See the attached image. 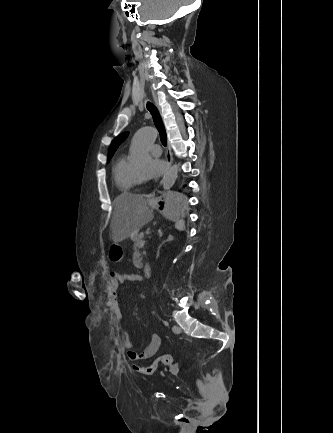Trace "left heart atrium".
<instances>
[{
    "label": "left heart atrium",
    "mask_w": 333,
    "mask_h": 433,
    "mask_svg": "<svg viewBox=\"0 0 333 433\" xmlns=\"http://www.w3.org/2000/svg\"><path fill=\"white\" fill-rule=\"evenodd\" d=\"M165 168V162L159 157H154L146 166L143 172V178L156 179L165 171Z\"/></svg>",
    "instance_id": "obj_1"
}]
</instances>
